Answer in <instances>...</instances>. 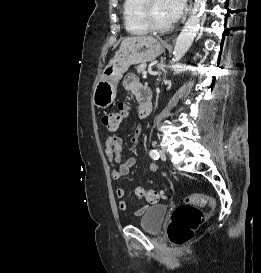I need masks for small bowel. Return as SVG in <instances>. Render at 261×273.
Listing matches in <instances>:
<instances>
[{"label": "small bowel", "mask_w": 261, "mask_h": 273, "mask_svg": "<svg viewBox=\"0 0 261 273\" xmlns=\"http://www.w3.org/2000/svg\"><path fill=\"white\" fill-rule=\"evenodd\" d=\"M124 88L131 92L136 99L139 101L143 95V91L147 89L143 86L138 77L133 73H128L124 76L123 79ZM148 90V89H147ZM119 111L122 113V119L128 118L130 107L126 103H120L118 105ZM142 133L141 126H137L133 136L131 137V144L137 145L140 141ZM122 149H123V140L118 134H112L107 137L105 141V154L112 166L111 176L114 180H120L126 175L129 174L130 170L137 164V159L135 157H129L124 162H122ZM118 165V167H116ZM155 169V167H153ZM116 195L120 199L119 208L122 211L128 209V202L125 199L126 192L124 188L118 187L116 189ZM147 206H143L135 211L136 215H142Z\"/></svg>", "instance_id": "obj_1"}]
</instances>
